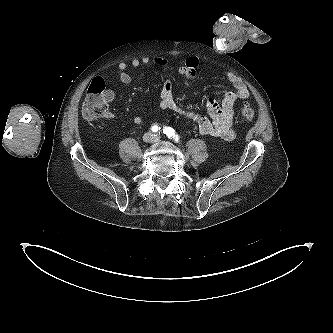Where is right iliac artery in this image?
I'll use <instances>...</instances> for the list:
<instances>
[{"mask_svg":"<svg viewBox=\"0 0 333 333\" xmlns=\"http://www.w3.org/2000/svg\"><path fill=\"white\" fill-rule=\"evenodd\" d=\"M151 130H152V132L156 133V132H158V130H160V127H158L157 125H154V126H152Z\"/></svg>","mask_w":333,"mask_h":333,"instance_id":"82829eb1","label":"right iliac artery"}]
</instances>
